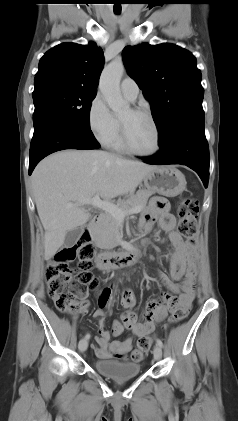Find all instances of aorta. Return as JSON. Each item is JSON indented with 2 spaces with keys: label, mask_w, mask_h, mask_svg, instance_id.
<instances>
[{
  "label": "aorta",
  "mask_w": 238,
  "mask_h": 421,
  "mask_svg": "<svg viewBox=\"0 0 238 421\" xmlns=\"http://www.w3.org/2000/svg\"><path fill=\"white\" fill-rule=\"evenodd\" d=\"M125 67L121 59L112 60L102 71L99 88L109 107L114 112L126 110L129 105L122 98L120 81Z\"/></svg>",
  "instance_id": "obj_1"
}]
</instances>
